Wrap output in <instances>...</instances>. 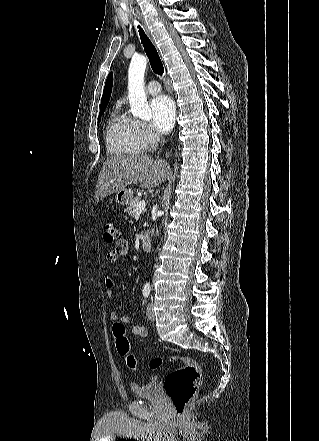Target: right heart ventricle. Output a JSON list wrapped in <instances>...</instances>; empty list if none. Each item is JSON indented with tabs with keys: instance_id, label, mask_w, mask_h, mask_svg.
I'll return each instance as SVG.
<instances>
[{
	"instance_id": "right-heart-ventricle-1",
	"label": "right heart ventricle",
	"mask_w": 319,
	"mask_h": 441,
	"mask_svg": "<svg viewBox=\"0 0 319 441\" xmlns=\"http://www.w3.org/2000/svg\"><path fill=\"white\" fill-rule=\"evenodd\" d=\"M106 145L113 155H136L142 149L134 134V120L113 109L106 126Z\"/></svg>"
}]
</instances>
